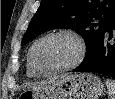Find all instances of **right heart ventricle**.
<instances>
[{
	"label": "right heart ventricle",
	"mask_w": 115,
	"mask_h": 99,
	"mask_svg": "<svg viewBox=\"0 0 115 99\" xmlns=\"http://www.w3.org/2000/svg\"><path fill=\"white\" fill-rule=\"evenodd\" d=\"M27 75L29 77H35L37 74L33 71V69L31 68L30 62H29V58L27 59Z\"/></svg>",
	"instance_id": "1"
}]
</instances>
